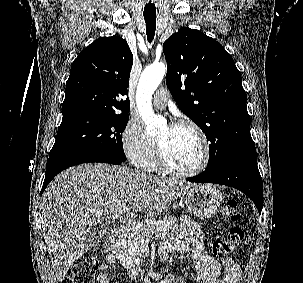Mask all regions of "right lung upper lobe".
<instances>
[{"mask_svg":"<svg viewBox=\"0 0 303 283\" xmlns=\"http://www.w3.org/2000/svg\"><path fill=\"white\" fill-rule=\"evenodd\" d=\"M132 52L119 36L101 37L74 60L66 82L63 117L77 113L128 116Z\"/></svg>","mask_w":303,"mask_h":283,"instance_id":"obj_1","label":"right lung upper lobe"}]
</instances>
